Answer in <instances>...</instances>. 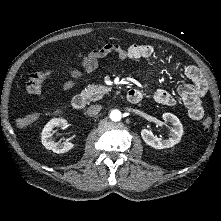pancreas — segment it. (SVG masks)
I'll list each match as a JSON object with an SVG mask.
<instances>
[{"instance_id":"pancreas-1","label":"pancreas","mask_w":221,"mask_h":221,"mask_svg":"<svg viewBox=\"0 0 221 221\" xmlns=\"http://www.w3.org/2000/svg\"><path fill=\"white\" fill-rule=\"evenodd\" d=\"M109 91V88L103 86V85H88L87 88H85L81 95L85 97L89 102L97 101L103 97V94L107 93Z\"/></svg>"}]
</instances>
